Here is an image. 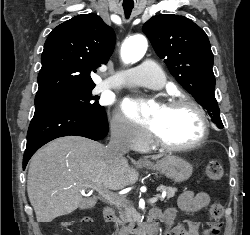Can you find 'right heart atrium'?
Wrapping results in <instances>:
<instances>
[{
	"label": "right heart atrium",
	"mask_w": 250,
	"mask_h": 235,
	"mask_svg": "<svg viewBox=\"0 0 250 235\" xmlns=\"http://www.w3.org/2000/svg\"><path fill=\"white\" fill-rule=\"evenodd\" d=\"M110 132L115 141L130 149L144 148L149 144L148 134L118 112L110 120Z\"/></svg>",
	"instance_id": "right-heart-atrium-1"
}]
</instances>
